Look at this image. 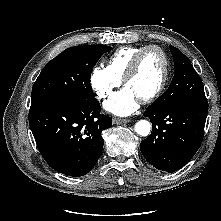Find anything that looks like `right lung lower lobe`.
Here are the masks:
<instances>
[{"label":"right lung lower lobe","instance_id":"right-lung-lower-lobe-1","mask_svg":"<svg viewBox=\"0 0 221 221\" xmlns=\"http://www.w3.org/2000/svg\"><path fill=\"white\" fill-rule=\"evenodd\" d=\"M29 124L38 149L55 171L80 177L92 170L103 150V130L112 119L100 114L96 98L31 105Z\"/></svg>","mask_w":221,"mask_h":221}]
</instances>
